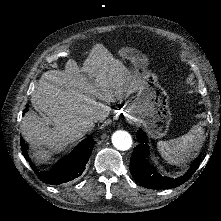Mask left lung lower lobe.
<instances>
[{
	"mask_svg": "<svg viewBox=\"0 0 221 221\" xmlns=\"http://www.w3.org/2000/svg\"><path fill=\"white\" fill-rule=\"evenodd\" d=\"M136 137L140 144L133 150L130 172L134 179L143 187L149 189H168L177 187L185 183L199 167L200 157L193 161L190 165V169L183 176L175 179L162 176L148 161L149 147L147 145L148 141L146 134L142 130H139L137 131Z\"/></svg>",
	"mask_w": 221,
	"mask_h": 221,
	"instance_id": "left-lung-lower-lobe-1",
	"label": "left lung lower lobe"
}]
</instances>
